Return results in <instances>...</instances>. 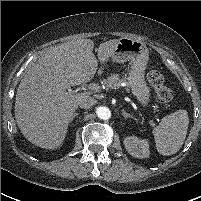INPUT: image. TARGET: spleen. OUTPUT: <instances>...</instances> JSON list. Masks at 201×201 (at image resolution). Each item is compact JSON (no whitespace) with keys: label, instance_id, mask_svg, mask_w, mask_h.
I'll use <instances>...</instances> for the list:
<instances>
[{"label":"spleen","instance_id":"spleen-1","mask_svg":"<svg viewBox=\"0 0 201 201\" xmlns=\"http://www.w3.org/2000/svg\"><path fill=\"white\" fill-rule=\"evenodd\" d=\"M188 124L186 110H178L163 117L152 131L157 151L162 155H171L179 151L186 138Z\"/></svg>","mask_w":201,"mask_h":201}]
</instances>
